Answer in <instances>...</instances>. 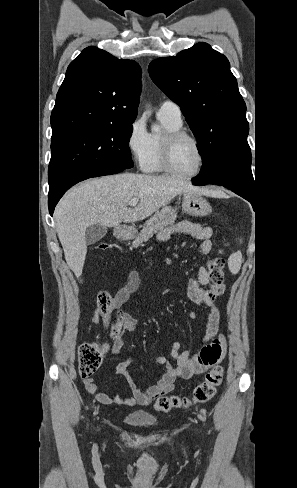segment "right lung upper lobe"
<instances>
[{
  "mask_svg": "<svg viewBox=\"0 0 297 488\" xmlns=\"http://www.w3.org/2000/svg\"><path fill=\"white\" fill-rule=\"evenodd\" d=\"M141 68L97 47L85 48L66 71L51 114L52 135L85 126L132 124Z\"/></svg>",
  "mask_w": 297,
  "mask_h": 488,
  "instance_id": "cb5924a9",
  "label": "right lung upper lobe"
}]
</instances>
